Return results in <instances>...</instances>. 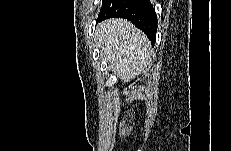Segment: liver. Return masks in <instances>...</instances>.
Segmentation results:
<instances>
[{"label": "liver", "mask_w": 231, "mask_h": 151, "mask_svg": "<svg viewBox=\"0 0 231 151\" xmlns=\"http://www.w3.org/2000/svg\"><path fill=\"white\" fill-rule=\"evenodd\" d=\"M98 46L110 69L123 83L148 69L152 49L146 35L125 19H108L97 27Z\"/></svg>", "instance_id": "6515ba94"}]
</instances>
